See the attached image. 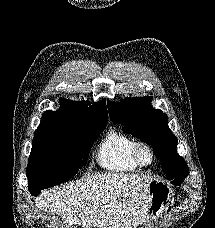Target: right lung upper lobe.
I'll list each match as a JSON object with an SVG mask.
<instances>
[{
	"instance_id": "1",
	"label": "right lung upper lobe",
	"mask_w": 215,
	"mask_h": 228,
	"mask_svg": "<svg viewBox=\"0 0 215 228\" xmlns=\"http://www.w3.org/2000/svg\"><path fill=\"white\" fill-rule=\"evenodd\" d=\"M60 103L62 107L58 111L48 110L43 113L35 134L61 127L108 122L105 100L95 103L90 108L87 107L88 102L83 101L71 102L61 98Z\"/></svg>"
}]
</instances>
